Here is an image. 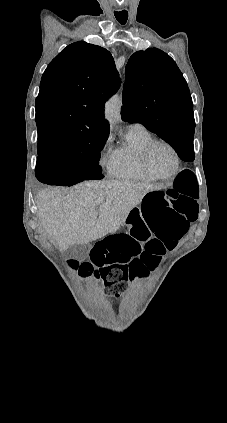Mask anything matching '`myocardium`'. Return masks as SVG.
<instances>
[{"label":"myocardium","mask_w":227,"mask_h":423,"mask_svg":"<svg viewBox=\"0 0 227 423\" xmlns=\"http://www.w3.org/2000/svg\"><path fill=\"white\" fill-rule=\"evenodd\" d=\"M156 145H162L165 146L166 148H168L171 153L173 154L174 157V168L172 170V172L168 175L165 176H161L156 174L152 168L150 167L149 164V154L150 151L152 150V148ZM139 161H140V165L143 169V171L145 172V174L147 176H149L152 179L155 180H169L172 179L173 177H175L179 170H180V166H181V160H180V156L178 151L176 150V148L169 142L162 140V139H151L149 140L147 143H145L142 148L140 149L139 152Z\"/></svg>","instance_id":"obj_1"}]
</instances>
